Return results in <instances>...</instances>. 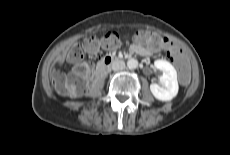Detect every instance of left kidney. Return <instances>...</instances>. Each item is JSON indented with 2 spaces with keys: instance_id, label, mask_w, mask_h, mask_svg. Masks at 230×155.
<instances>
[{
  "instance_id": "1",
  "label": "left kidney",
  "mask_w": 230,
  "mask_h": 155,
  "mask_svg": "<svg viewBox=\"0 0 230 155\" xmlns=\"http://www.w3.org/2000/svg\"><path fill=\"white\" fill-rule=\"evenodd\" d=\"M154 66L163 72V75L160 77L163 86L152 83L150 85V91L156 99L170 101L177 95L179 89L177 72L173 65L166 60H156Z\"/></svg>"
}]
</instances>
